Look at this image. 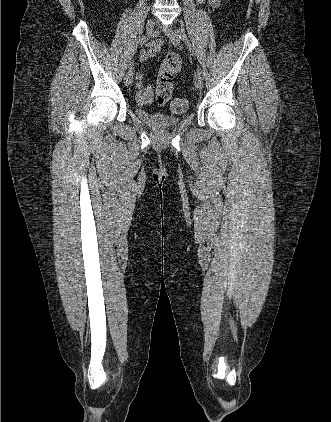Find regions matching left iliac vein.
<instances>
[{
  "label": "left iliac vein",
  "instance_id": "left-iliac-vein-1",
  "mask_svg": "<svg viewBox=\"0 0 331 422\" xmlns=\"http://www.w3.org/2000/svg\"><path fill=\"white\" fill-rule=\"evenodd\" d=\"M167 34H168L169 40L171 41L172 44H174L175 46L180 45L181 34L178 30H172V29L169 28L167 30ZM194 85L198 90H201L202 87H203V77L198 72L194 76Z\"/></svg>",
  "mask_w": 331,
  "mask_h": 422
}]
</instances>
